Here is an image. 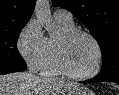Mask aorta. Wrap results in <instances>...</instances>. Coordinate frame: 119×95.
<instances>
[{
    "instance_id": "1",
    "label": "aorta",
    "mask_w": 119,
    "mask_h": 95,
    "mask_svg": "<svg viewBox=\"0 0 119 95\" xmlns=\"http://www.w3.org/2000/svg\"><path fill=\"white\" fill-rule=\"evenodd\" d=\"M34 12L48 34L52 35L56 31V26L52 20L49 0H37Z\"/></svg>"
}]
</instances>
